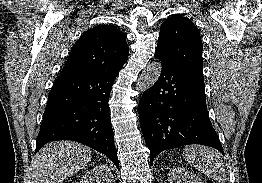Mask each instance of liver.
Listing matches in <instances>:
<instances>
[{
    "instance_id": "obj_1",
    "label": "liver",
    "mask_w": 262,
    "mask_h": 183,
    "mask_svg": "<svg viewBox=\"0 0 262 183\" xmlns=\"http://www.w3.org/2000/svg\"><path fill=\"white\" fill-rule=\"evenodd\" d=\"M91 160V150L73 141L46 144L32 159L33 183H62Z\"/></svg>"
}]
</instances>
